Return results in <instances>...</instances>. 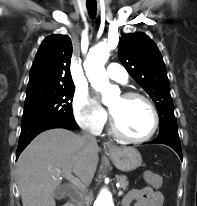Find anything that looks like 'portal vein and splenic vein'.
<instances>
[{"label":"portal vein and splenic vein","mask_w":197,"mask_h":206,"mask_svg":"<svg viewBox=\"0 0 197 206\" xmlns=\"http://www.w3.org/2000/svg\"><path fill=\"white\" fill-rule=\"evenodd\" d=\"M65 177L69 179V181L77 186L78 188H82L83 185L80 184L77 178L73 177L72 175L66 174ZM123 194V191H119L118 195L121 196Z\"/></svg>","instance_id":"obj_1"}]
</instances>
